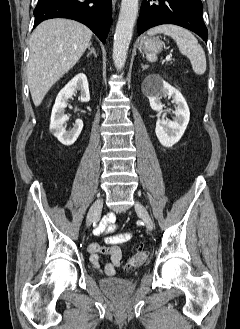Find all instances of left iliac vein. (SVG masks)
<instances>
[{"label": "left iliac vein", "instance_id": "obj_1", "mask_svg": "<svg viewBox=\"0 0 240 329\" xmlns=\"http://www.w3.org/2000/svg\"><path fill=\"white\" fill-rule=\"evenodd\" d=\"M135 210H136L137 214L140 216V218L144 221L146 227L149 230H153L154 225H153L151 217L149 216L146 208L140 202H136Z\"/></svg>", "mask_w": 240, "mask_h": 329}]
</instances>
